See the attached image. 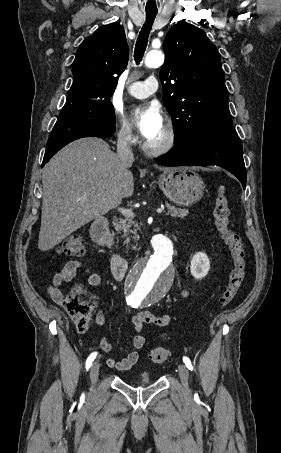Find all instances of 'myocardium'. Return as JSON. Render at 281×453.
Wrapping results in <instances>:
<instances>
[{"mask_svg":"<svg viewBox=\"0 0 281 453\" xmlns=\"http://www.w3.org/2000/svg\"><path fill=\"white\" fill-rule=\"evenodd\" d=\"M166 132V141L162 144H153L147 139H144L141 143V148L144 153L151 156H159L170 152L177 141V133L175 128L170 123L164 124Z\"/></svg>","mask_w":281,"mask_h":453,"instance_id":"1","label":"myocardium"}]
</instances>
